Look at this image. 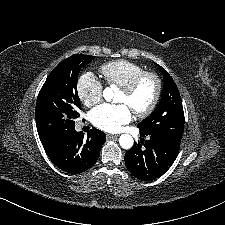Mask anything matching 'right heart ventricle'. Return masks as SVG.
<instances>
[{
    "instance_id": "1",
    "label": "right heart ventricle",
    "mask_w": 225,
    "mask_h": 225,
    "mask_svg": "<svg viewBox=\"0 0 225 225\" xmlns=\"http://www.w3.org/2000/svg\"><path fill=\"white\" fill-rule=\"evenodd\" d=\"M144 68L128 60H114L100 66V72L109 85L123 87Z\"/></svg>"
}]
</instances>
